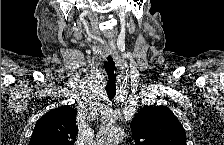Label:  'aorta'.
Returning <instances> with one entry per match:
<instances>
[{
  "label": "aorta",
  "mask_w": 224,
  "mask_h": 145,
  "mask_svg": "<svg viewBox=\"0 0 224 145\" xmlns=\"http://www.w3.org/2000/svg\"><path fill=\"white\" fill-rule=\"evenodd\" d=\"M124 137V131L115 126L104 127L97 138L99 145H117Z\"/></svg>",
  "instance_id": "1"
}]
</instances>
